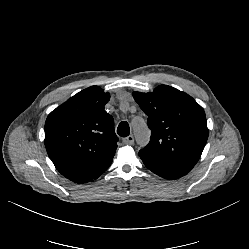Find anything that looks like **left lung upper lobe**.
I'll return each mask as SVG.
<instances>
[{
    "label": "left lung upper lobe",
    "mask_w": 249,
    "mask_h": 249,
    "mask_svg": "<svg viewBox=\"0 0 249 249\" xmlns=\"http://www.w3.org/2000/svg\"><path fill=\"white\" fill-rule=\"evenodd\" d=\"M133 97L148 116L152 132L139 156L192 169L208 138L203 108L188 94L167 85L150 93L134 92Z\"/></svg>",
    "instance_id": "5c2ea615"
}]
</instances>
